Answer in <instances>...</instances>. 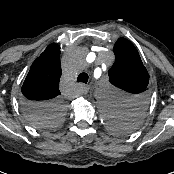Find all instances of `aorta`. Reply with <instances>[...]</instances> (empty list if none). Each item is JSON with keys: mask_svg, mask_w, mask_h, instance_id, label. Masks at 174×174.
Returning a JSON list of instances; mask_svg holds the SVG:
<instances>
[{"mask_svg": "<svg viewBox=\"0 0 174 174\" xmlns=\"http://www.w3.org/2000/svg\"><path fill=\"white\" fill-rule=\"evenodd\" d=\"M114 96V90L108 85L101 84L96 88V97L99 106L102 109L103 113L107 116H110L112 114L118 115L121 113V110L117 107Z\"/></svg>", "mask_w": 174, "mask_h": 174, "instance_id": "obj_1", "label": "aorta"}]
</instances>
